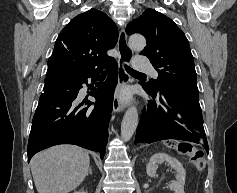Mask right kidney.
<instances>
[{
  "instance_id": "right-kidney-1",
  "label": "right kidney",
  "mask_w": 237,
  "mask_h": 193,
  "mask_svg": "<svg viewBox=\"0 0 237 193\" xmlns=\"http://www.w3.org/2000/svg\"><path fill=\"white\" fill-rule=\"evenodd\" d=\"M73 193H87V192L81 190V191H75V192H73Z\"/></svg>"
}]
</instances>
